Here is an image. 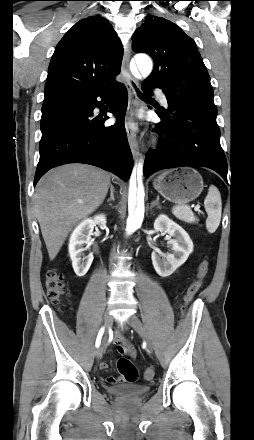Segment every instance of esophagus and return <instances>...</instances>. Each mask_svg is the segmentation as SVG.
<instances>
[{"mask_svg":"<svg viewBox=\"0 0 254 440\" xmlns=\"http://www.w3.org/2000/svg\"><path fill=\"white\" fill-rule=\"evenodd\" d=\"M130 56H131V49L130 46L128 45L124 51L122 68H121L122 74L125 77V84L129 94L127 113L125 117V128H126L127 138L131 152L133 156L136 157L138 155V142L136 138L137 128L134 121V115L138 107V97L135 87L133 85V82H135V80L132 77L129 70Z\"/></svg>","mask_w":254,"mask_h":440,"instance_id":"34e87169","label":"esophagus"}]
</instances>
